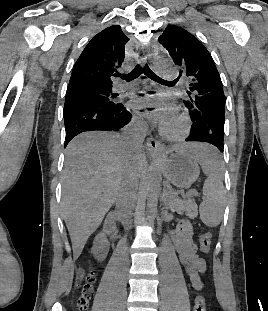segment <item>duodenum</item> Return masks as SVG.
I'll return each mask as SVG.
<instances>
[{"mask_svg":"<svg viewBox=\"0 0 268 311\" xmlns=\"http://www.w3.org/2000/svg\"><path fill=\"white\" fill-rule=\"evenodd\" d=\"M114 229V222L113 221H109L107 224V230L112 232Z\"/></svg>","mask_w":268,"mask_h":311,"instance_id":"duodenum-1","label":"duodenum"}]
</instances>
